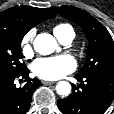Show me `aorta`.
Masks as SVG:
<instances>
[{"instance_id": "762f6f07", "label": "aorta", "mask_w": 114, "mask_h": 114, "mask_svg": "<svg viewBox=\"0 0 114 114\" xmlns=\"http://www.w3.org/2000/svg\"><path fill=\"white\" fill-rule=\"evenodd\" d=\"M33 46L36 52L42 55H48L56 49L57 43L52 35L41 33L36 36ZM56 91L59 95L68 96L71 92V85L66 81H60L56 85Z\"/></svg>"}]
</instances>
